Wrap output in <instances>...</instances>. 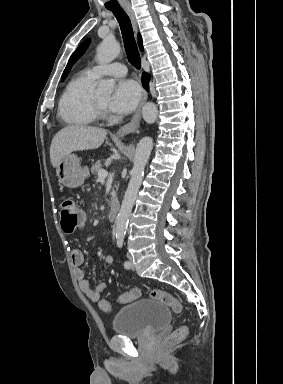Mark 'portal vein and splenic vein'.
Segmentation results:
<instances>
[{"label":"portal vein and splenic vein","instance_id":"1","mask_svg":"<svg viewBox=\"0 0 283 384\" xmlns=\"http://www.w3.org/2000/svg\"><path fill=\"white\" fill-rule=\"evenodd\" d=\"M98 176L101 180H105L108 176V172H106V170H100V172H98Z\"/></svg>","mask_w":283,"mask_h":384}]
</instances>
